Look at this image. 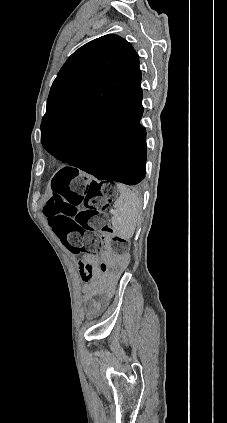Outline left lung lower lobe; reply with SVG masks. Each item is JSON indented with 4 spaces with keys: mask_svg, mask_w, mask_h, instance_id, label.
Instances as JSON below:
<instances>
[{
    "mask_svg": "<svg viewBox=\"0 0 227 423\" xmlns=\"http://www.w3.org/2000/svg\"><path fill=\"white\" fill-rule=\"evenodd\" d=\"M142 113H108L81 135L54 140L45 149L100 180L138 184L145 177L147 153ZM62 173L77 175L78 170L66 167Z\"/></svg>",
    "mask_w": 227,
    "mask_h": 423,
    "instance_id": "1",
    "label": "left lung lower lobe"
}]
</instances>
